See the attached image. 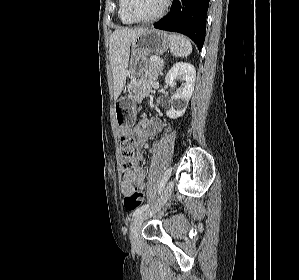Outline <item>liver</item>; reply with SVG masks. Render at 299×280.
I'll use <instances>...</instances> for the list:
<instances>
[{
    "instance_id": "obj_1",
    "label": "liver",
    "mask_w": 299,
    "mask_h": 280,
    "mask_svg": "<svg viewBox=\"0 0 299 280\" xmlns=\"http://www.w3.org/2000/svg\"><path fill=\"white\" fill-rule=\"evenodd\" d=\"M145 31L143 28L117 29L110 37L114 100H117L126 83L131 43Z\"/></svg>"
}]
</instances>
